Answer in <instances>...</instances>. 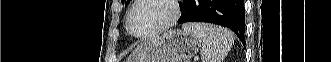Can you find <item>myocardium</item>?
I'll return each mask as SVG.
<instances>
[{"label": "myocardium", "instance_id": "1", "mask_svg": "<svg viewBox=\"0 0 331 62\" xmlns=\"http://www.w3.org/2000/svg\"><path fill=\"white\" fill-rule=\"evenodd\" d=\"M144 1H147V0H136L133 3V5L131 6V8L128 11V14H127V19H126L127 30L132 36H134L136 38L145 39V38H149V37H152L154 35H157V34L163 32V31L169 29L170 27H172L180 17L181 10H180L179 2L176 1V0H164L170 5V7L172 9V14L168 18V20L166 22H164L158 28H155V29H153L149 32L143 33V34H137L132 29L131 18H132V14H133L134 10Z\"/></svg>", "mask_w": 331, "mask_h": 62}]
</instances>
